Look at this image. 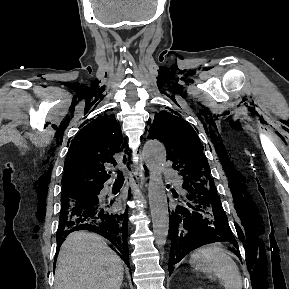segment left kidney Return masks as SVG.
<instances>
[{
	"label": "left kidney",
	"instance_id": "left-kidney-1",
	"mask_svg": "<svg viewBox=\"0 0 289 289\" xmlns=\"http://www.w3.org/2000/svg\"><path fill=\"white\" fill-rule=\"evenodd\" d=\"M198 289H203L202 287H199Z\"/></svg>",
	"mask_w": 289,
	"mask_h": 289
}]
</instances>
